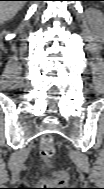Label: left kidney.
Here are the masks:
<instances>
[{
  "mask_svg": "<svg viewBox=\"0 0 104 189\" xmlns=\"http://www.w3.org/2000/svg\"><path fill=\"white\" fill-rule=\"evenodd\" d=\"M91 17L92 18H97L100 22L103 21L102 14L100 12H91Z\"/></svg>",
  "mask_w": 104,
  "mask_h": 189,
  "instance_id": "left-kidney-1",
  "label": "left kidney"
}]
</instances>
